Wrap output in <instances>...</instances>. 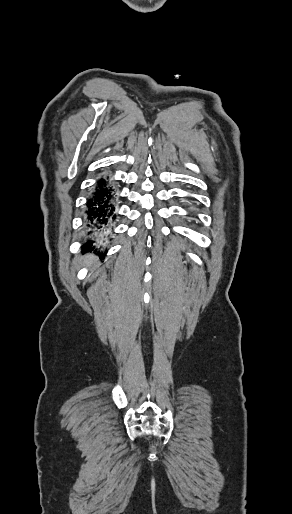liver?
Segmentation results:
<instances>
[{"label": "liver", "instance_id": "obj_1", "mask_svg": "<svg viewBox=\"0 0 292 514\" xmlns=\"http://www.w3.org/2000/svg\"><path fill=\"white\" fill-rule=\"evenodd\" d=\"M81 260H83L85 266H93V264L95 266V264H97V258L93 256V254H86Z\"/></svg>", "mask_w": 292, "mask_h": 514}]
</instances>
